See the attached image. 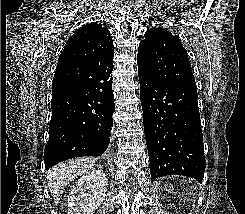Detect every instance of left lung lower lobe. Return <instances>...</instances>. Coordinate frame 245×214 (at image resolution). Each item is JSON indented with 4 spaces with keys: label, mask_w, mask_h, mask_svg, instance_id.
Segmentation results:
<instances>
[{
    "label": "left lung lower lobe",
    "mask_w": 245,
    "mask_h": 214,
    "mask_svg": "<svg viewBox=\"0 0 245 214\" xmlns=\"http://www.w3.org/2000/svg\"><path fill=\"white\" fill-rule=\"evenodd\" d=\"M152 179L183 175L202 183L206 161L197 87L166 83L138 71Z\"/></svg>",
    "instance_id": "1"
}]
</instances>
